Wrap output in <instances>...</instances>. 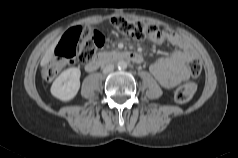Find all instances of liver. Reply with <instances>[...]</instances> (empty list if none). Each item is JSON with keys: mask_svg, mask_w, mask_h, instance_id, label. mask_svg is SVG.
<instances>
[{"mask_svg": "<svg viewBox=\"0 0 238 158\" xmlns=\"http://www.w3.org/2000/svg\"><path fill=\"white\" fill-rule=\"evenodd\" d=\"M57 41H55L45 52L42 60H41V66H46L52 59L54 55V48L56 45Z\"/></svg>", "mask_w": 238, "mask_h": 158, "instance_id": "obj_1", "label": "liver"}]
</instances>
